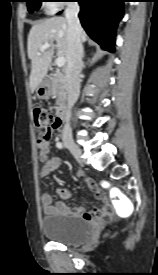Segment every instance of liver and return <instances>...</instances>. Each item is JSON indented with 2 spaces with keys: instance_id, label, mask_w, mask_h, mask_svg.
<instances>
[{
  "instance_id": "obj_1",
  "label": "liver",
  "mask_w": 158,
  "mask_h": 275,
  "mask_svg": "<svg viewBox=\"0 0 158 275\" xmlns=\"http://www.w3.org/2000/svg\"><path fill=\"white\" fill-rule=\"evenodd\" d=\"M87 39L86 33L82 30L81 41ZM56 42V44H54ZM50 44L51 48L40 52V47ZM57 49V56L66 58L68 49V22L64 17H52L39 21L32 26L28 35V57L31 60L30 88L34 92L45 78L54 49Z\"/></svg>"
}]
</instances>
